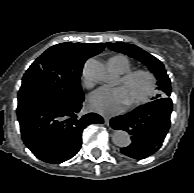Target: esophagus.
Returning <instances> with one entry per match:
<instances>
[{
	"instance_id": "34e87169",
	"label": "esophagus",
	"mask_w": 194,
	"mask_h": 193,
	"mask_svg": "<svg viewBox=\"0 0 194 193\" xmlns=\"http://www.w3.org/2000/svg\"><path fill=\"white\" fill-rule=\"evenodd\" d=\"M109 122H110V117L109 116H104V123L106 125H109Z\"/></svg>"
}]
</instances>
